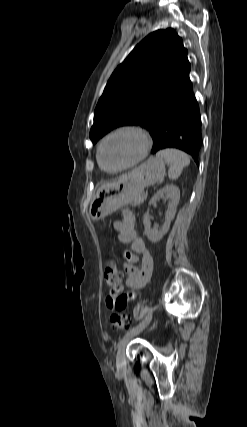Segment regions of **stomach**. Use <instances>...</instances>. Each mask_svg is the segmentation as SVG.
Masks as SVG:
<instances>
[{"label": "stomach", "mask_w": 247, "mask_h": 427, "mask_svg": "<svg viewBox=\"0 0 247 427\" xmlns=\"http://www.w3.org/2000/svg\"><path fill=\"white\" fill-rule=\"evenodd\" d=\"M164 175L163 159L150 157L114 185L100 188L91 201L89 215L94 221H99L132 204L143 194L145 187L159 182Z\"/></svg>", "instance_id": "stomach-1"}]
</instances>
